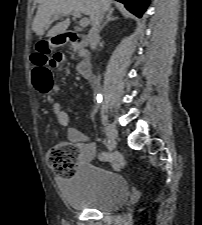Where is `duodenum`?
I'll return each mask as SVG.
<instances>
[{
  "mask_svg": "<svg viewBox=\"0 0 202 225\" xmlns=\"http://www.w3.org/2000/svg\"><path fill=\"white\" fill-rule=\"evenodd\" d=\"M55 40L59 46H62L66 43L72 44L75 48L80 49L86 43V36L84 34L67 31L65 33H60L55 36ZM77 72L79 75L89 78L91 76V67L88 61H82L77 66Z\"/></svg>",
  "mask_w": 202,
  "mask_h": 225,
  "instance_id": "410a0bca",
  "label": "duodenum"
}]
</instances>
